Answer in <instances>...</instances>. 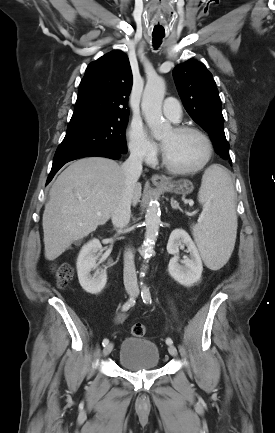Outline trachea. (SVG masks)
<instances>
[{"label": "trachea", "instance_id": "3493384b", "mask_svg": "<svg viewBox=\"0 0 275 433\" xmlns=\"http://www.w3.org/2000/svg\"><path fill=\"white\" fill-rule=\"evenodd\" d=\"M164 36H160V35H153V45L155 48L159 47V45L162 42Z\"/></svg>", "mask_w": 275, "mask_h": 433}]
</instances>
